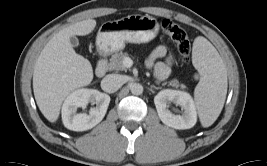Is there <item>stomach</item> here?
<instances>
[{
	"label": "stomach",
	"mask_w": 267,
	"mask_h": 166,
	"mask_svg": "<svg viewBox=\"0 0 267 166\" xmlns=\"http://www.w3.org/2000/svg\"><path fill=\"white\" fill-rule=\"evenodd\" d=\"M159 32V23L148 15H128L102 24L96 37L97 50L109 54L125 47V43H147Z\"/></svg>",
	"instance_id": "obj_1"
}]
</instances>
